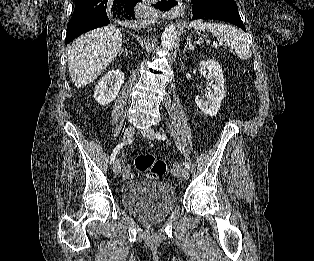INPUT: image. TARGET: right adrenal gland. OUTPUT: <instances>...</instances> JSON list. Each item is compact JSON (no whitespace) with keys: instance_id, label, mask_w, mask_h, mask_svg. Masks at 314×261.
<instances>
[{"instance_id":"right-adrenal-gland-1","label":"right adrenal gland","mask_w":314,"mask_h":261,"mask_svg":"<svg viewBox=\"0 0 314 261\" xmlns=\"http://www.w3.org/2000/svg\"><path fill=\"white\" fill-rule=\"evenodd\" d=\"M121 54H126V55H128V52H127L126 48H122V49H121Z\"/></svg>"}]
</instances>
